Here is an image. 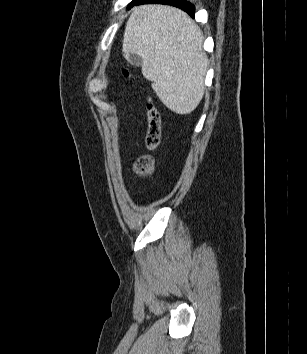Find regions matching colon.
I'll return each mask as SVG.
<instances>
[{
    "mask_svg": "<svg viewBox=\"0 0 307 354\" xmlns=\"http://www.w3.org/2000/svg\"><path fill=\"white\" fill-rule=\"evenodd\" d=\"M125 77L129 76L128 70H123ZM148 130L146 134V145L150 150L158 147L161 138L162 121L161 115L155 105L149 101L148 103ZM153 169V158L150 155L141 156L135 163L136 172L142 176H148Z\"/></svg>",
    "mask_w": 307,
    "mask_h": 354,
    "instance_id": "obj_1",
    "label": "colon"
}]
</instances>
